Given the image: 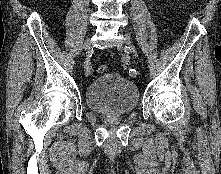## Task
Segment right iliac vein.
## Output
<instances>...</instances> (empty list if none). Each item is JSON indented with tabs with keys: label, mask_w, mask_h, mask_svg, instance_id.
Returning a JSON list of instances; mask_svg holds the SVG:
<instances>
[{
	"label": "right iliac vein",
	"mask_w": 221,
	"mask_h": 174,
	"mask_svg": "<svg viewBox=\"0 0 221 174\" xmlns=\"http://www.w3.org/2000/svg\"><path fill=\"white\" fill-rule=\"evenodd\" d=\"M90 44H91V41H90L89 39H87V40L85 41V43H84V49H85V50L89 49Z\"/></svg>",
	"instance_id": "obj_1"
}]
</instances>
